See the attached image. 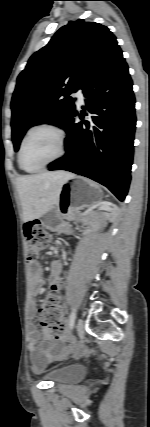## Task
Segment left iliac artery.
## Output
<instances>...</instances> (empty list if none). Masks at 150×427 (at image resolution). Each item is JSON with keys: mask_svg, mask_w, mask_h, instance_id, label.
Here are the masks:
<instances>
[{"mask_svg": "<svg viewBox=\"0 0 150 427\" xmlns=\"http://www.w3.org/2000/svg\"><path fill=\"white\" fill-rule=\"evenodd\" d=\"M76 319V310L73 309L69 317V326L72 329Z\"/></svg>", "mask_w": 150, "mask_h": 427, "instance_id": "1", "label": "left iliac artery"}]
</instances>
